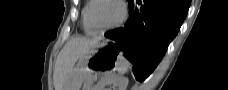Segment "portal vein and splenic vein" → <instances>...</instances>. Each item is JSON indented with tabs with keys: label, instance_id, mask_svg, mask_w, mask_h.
<instances>
[{
	"label": "portal vein and splenic vein",
	"instance_id": "obj_1",
	"mask_svg": "<svg viewBox=\"0 0 228 90\" xmlns=\"http://www.w3.org/2000/svg\"><path fill=\"white\" fill-rule=\"evenodd\" d=\"M94 79L97 80V76H94Z\"/></svg>",
	"mask_w": 228,
	"mask_h": 90
}]
</instances>
